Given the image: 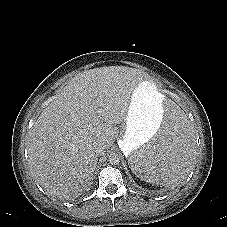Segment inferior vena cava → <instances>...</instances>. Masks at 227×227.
<instances>
[{
    "instance_id": "obj_1",
    "label": "inferior vena cava",
    "mask_w": 227,
    "mask_h": 227,
    "mask_svg": "<svg viewBox=\"0 0 227 227\" xmlns=\"http://www.w3.org/2000/svg\"><path fill=\"white\" fill-rule=\"evenodd\" d=\"M105 150H106V145L103 144V143H102V144H99V145H97L96 148H95V154H96L97 156H101V155L104 154Z\"/></svg>"
}]
</instances>
